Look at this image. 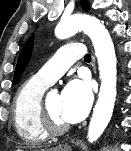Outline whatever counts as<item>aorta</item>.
Masks as SVG:
<instances>
[{"mask_svg": "<svg viewBox=\"0 0 131 151\" xmlns=\"http://www.w3.org/2000/svg\"><path fill=\"white\" fill-rule=\"evenodd\" d=\"M83 31L92 40L100 73V91L88 128L89 142L96 141L110 122L116 98L117 68L113 41L96 18L76 14L62 19L56 28V36L64 39Z\"/></svg>", "mask_w": 131, "mask_h": 151, "instance_id": "762f6f07", "label": "aorta"}]
</instances>
